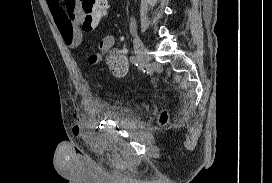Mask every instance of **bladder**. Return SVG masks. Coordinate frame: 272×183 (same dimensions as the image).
<instances>
[{
  "instance_id": "1",
  "label": "bladder",
  "mask_w": 272,
  "mask_h": 183,
  "mask_svg": "<svg viewBox=\"0 0 272 183\" xmlns=\"http://www.w3.org/2000/svg\"><path fill=\"white\" fill-rule=\"evenodd\" d=\"M107 116L113 118L116 122H125L131 115L128 112H113L112 114L106 113Z\"/></svg>"
}]
</instances>
